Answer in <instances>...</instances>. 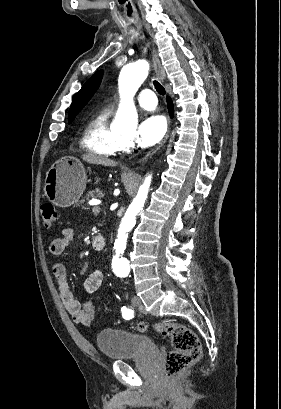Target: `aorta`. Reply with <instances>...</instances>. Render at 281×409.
<instances>
[{
  "mask_svg": "<svg viewBox=\"0 0 281 409\" xmlns=\"http://www.w3.org/2000/svg\"><path fill=\"white\" fill-rule=\"evenodd\" d=\"M148 71L149 64L145 60L128 64L121 70L119 76L121 101L113 122L114 130L118 132H131L136 130L138 114L133 103V97L147 78ZM150 183L151 175H148L122 219L120 232L129 231L134 226L136 215L142 210L147 198Z\"/></svg>",
  "mask_w": 281,
  "mask_h": 409,
  "instance_id": "aorta-1",
  "label": "aorta"
}]
</instances>
